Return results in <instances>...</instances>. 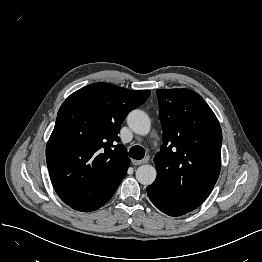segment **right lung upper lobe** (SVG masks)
I'll use <instances>...</instances> for the list:
<instances>
[{
  "label": "right lung upper lobe",
  "instance_id": "1",
  "mask_svg": "<svg viewBox=\"0 0 262 262\" xmlns=\"http://www.w3.org/2000/svg\"><path fill=\"white\" fill-rule=\"evenodd\" d=\"M150 91L109 83L88 85L61 105L46 147L55 191L72 208L107 202L127 173L130 159L121 144L120 125Z\"/></svg>",
  "mask_w": 262,
  "mask_h": 262
}]
</instances>
